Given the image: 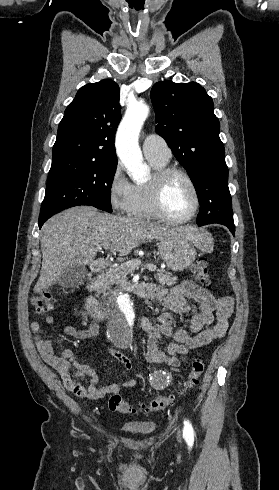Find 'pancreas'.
Wrapping results in <instances>:
<instances>
[{
  "mask_svg": "<svg viewBox=\"0 0 279 490\" xmlns=\"http://www.w3.org/2000/svg\"><path fill=\"white\" fill-rule=\"evenodd\" d=\"M133 272H135L134 266H128L126 262L120 264L117 268H109L103 276H100V278L95 280V284H97V294H106V292L111 290L113 284H123L128 274H133ZM155 280H157L159 284H162V286H173L176 282L175 278H173V274L164 272V270H160L158 274H155Z\"/></svg>",
  "mask_w": 279,
  "mask_h": 490,
  "instance_id": "obj_1",
  "label": "pancreas"
}]
</instances>
